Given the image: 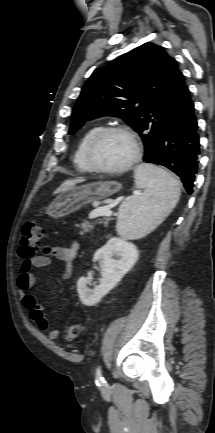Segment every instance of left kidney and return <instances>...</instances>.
I'll return each instance as SVG.
<instances>
[{
	"mask_svg": "<svg viewBox=\"0 0 215 433\" xmlns=\"http://www.w3.org/2000/svg\"><path fill=\"white\" fill-rule=\"evenodd\" d=\"M139 257L137 247L125 239L113 237L97 250L93 261H99L101 266V280L94 289L88 288L89 280L80 277L77 282V291L81 302L86 306L98 303L122 277L133 267Z\"/></svg>",
	"mask_w": 215,
	"mask_h": 433,
	"instance_id": "left-kidney-1",
	"label": "left kidney"
}]
</instances>
